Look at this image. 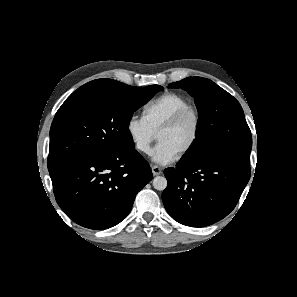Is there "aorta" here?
<instances>
[{"instance_id": "aorta-1", "label": "aorta", "mask_w": 297, "mask_h": 297, "mask_svg": "<svg viewBox=\"0 0 297 297\" xmlns=\"http://www.w3.org/2000/svg\"><path fill=\"white\" fill-rule=\"evenodd\" d=\"M153 187L156 190L162 191L167 187V179L163 176H157L153 179Z\"/></svg>"}]
</instances>
